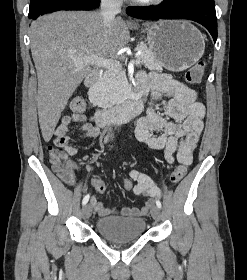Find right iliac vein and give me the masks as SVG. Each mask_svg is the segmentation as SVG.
I'll return each mask as SVG.
<instances>
[{
    "label": "right iliac vein",
    "instance_id": "1",
    "mask_svg": "<svg viewBox=\"0 0 247 280\" xmlns=\"http://www.w3.org/2000/svg\"><path fill=\"white\" fill-rule=\"evenodd\" d=\"M92 209L89 204L85 205L82 209V215L85 219L89 218L91 215Z\"/></svg>",
    "mask_w": 247,
    "mask_h": 280
}]
</instances>
